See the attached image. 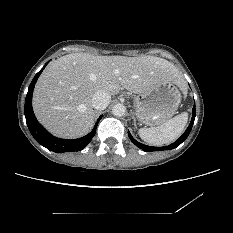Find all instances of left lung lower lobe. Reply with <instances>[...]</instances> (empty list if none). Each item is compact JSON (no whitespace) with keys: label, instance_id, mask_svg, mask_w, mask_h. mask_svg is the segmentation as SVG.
Segmentation results:
<instances>
[{"label":"left lung lower lobe","instance_id":"left-lung-lower-lobe-1","mask_svg":"<svg viewBox=\"0 0 233 233\" xmlns=\"http://www.w3.org/2000/svg\"><path fill=\"white\" fill-rule=\"evenodd\" d=\"M192 112H193L192 119H191V122H190L188 128L186 129V131L183 133V135L177 141H175L174 143L170 144L169 146H165V147L147 146V145H144L142 143L137 142L131 136L130 132H128V136H129V138L131 139V141L136 146H138L140 149H142L145 152H153V151H162V150H171V149H174V148L178 147L182 142H184L186 140V138L188 137V135L190 134V131L192 129V126H193V123H194V120H195V116H196V113H195V103H194Z\"/></svg>","mask_w":233,"mask_h":233}]
</instances>
